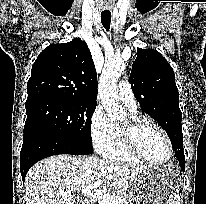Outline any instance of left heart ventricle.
<instances>
[{"label":"left heart ventricle","instance_id":"b2bd125f","mask_svg":"<svg viewBox=\"0 0 206 204\" xmlns=\"http://www.w3.org/2000/svg\"><path fill=\"white\" fill-rule=\"evenodd\" d=\"M138 144L143 154L151 160L161 161L168 156V145L164 136L150 125L140 130Z\"/></svg>","mask_w":206,"mask_h":204}]
</instances>
